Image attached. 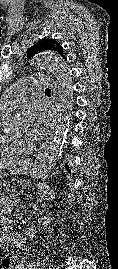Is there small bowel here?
Listing matches in <instances>:
<instances>
[{
  "mask_svg": "<svg viewBox=\"0 0 118 269\" xmlns=\"http://www.w3.org/2000/svg\"><path fill=\"white\" fill-rule=\"evenodd\" d=\"M9 211V207L4 205L0 206V247L6 248L13 246L15 248H23L25 246V239L12 230L8 217ZM3 266L6 268V263H3Z\"/></svg>",
  "mask_w": 118,
  "mask_h": 269,
  "instance_id": "obj_1",
  "label": "small bowel"
}]
</instances>
